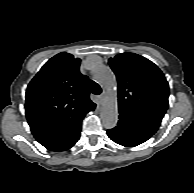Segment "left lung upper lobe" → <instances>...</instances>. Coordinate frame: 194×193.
<instances>
[{
	"mask_svg": "<svg viewBox=\"0 0 194 193\" xmlns=\"http://www.w3.org/2000/svg\"><path fill=\"white\" fill-rule=\"evenodd\" d=\"M118 80L119 113L157 126L168 108L169 86L162 71L150 60L134 53L109 59Z\"/></svg>",
	"mask_w": 194,
	"mask_h": 193,
	"instance_id": "left-lung-upper-lobe-1",
	"label": "left lung upper lobe"
}]
</instances>
